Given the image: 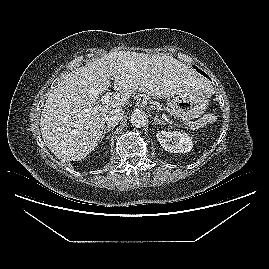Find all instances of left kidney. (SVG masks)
<instances>
[{"instance_id":"obj_1","label":"left kidney","mask_w":269,"mask_h":269,"mask_svg":"<svg viewBox=\"0 0 269 269\" xmlns=\"http://www.w3.org/2000/svg\"><path fill=\"white\" fill-rule=\"evenodd\" d=\"M156 137L161 146L170 153H186L193 147L190 136L183 132L161 130Z\"/></svg>"}]
</instances>
